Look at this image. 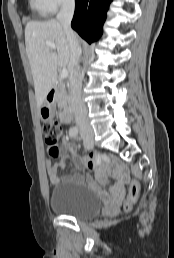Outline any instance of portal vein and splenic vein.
Masks as SVG:
<instances>
[{
	"instance_id": "1",
	"label": "portal vein and splenic vein",
	"mask_w": 174,
	"mask_h": 258,
	"mask_svg": "<svg viewBox=\"0 0 174 258\" xmlns=\"http://www.w3.org/2000/svg\"><path fill=\"white\" fill-rule=\"evenodd\" d=\"M46 45L48 47H50L51 49H56V45L50 41H46ZM68 76V71L67 69H62L61 73H60V77L61 78H66Z\"/></svg>"
}]
</instances>
